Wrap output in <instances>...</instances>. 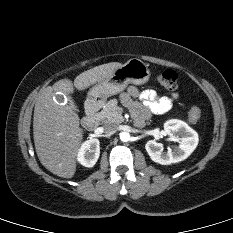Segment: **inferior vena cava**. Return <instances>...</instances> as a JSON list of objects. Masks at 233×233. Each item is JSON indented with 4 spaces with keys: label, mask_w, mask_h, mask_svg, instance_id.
Here are the masks:
<instances>
[{
    "label": "inferior vena cava",
    "mask_w": 233,
    "mask_h": 233,
    "mask_svg": "<svg viewBox=\"0 0 233 233\" xmlns=\"http://www.w3.org/2000/svg\"><path fill=\"white\" fill-rule=\"evenodd\" d=\"M118 129V126L114 123H106L104 125V131L106 133H114Z\"/></svg>",
    "instance_id": "1"
}]
</instances>
